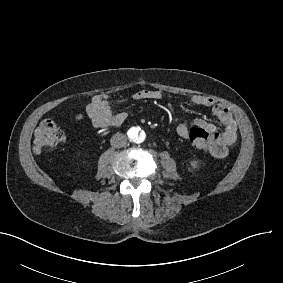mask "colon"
Masks as SVG:
<instances>
[{
  "instance_id": "obj_1",
  "label": "colon",
  "mask_w": 283,
  "mask_h": 283,
  "mask_svg": "<svg viewBox=\"0 0 283 283\" xmlns=\"http://www.w3.org/2000/svg\"><path fill=\"white\" fill-rule=\"evenodd\" d=\"M65 136L55 119H44L34 133L33 148L36 152L51 150L56 144L63 142ZM193 147L208 152L212 145V132L204 127H193L190 130Z\"/></svg>"
}]
</instances>
